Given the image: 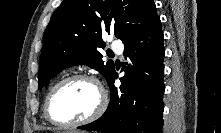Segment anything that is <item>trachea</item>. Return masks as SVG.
I'll list each match as a JSON object with an SVG mask.
<instances>
[{"mask_svg": "<svg viewBox=\"0 0 221 133\" xmlns=\"http://www.w3.org/2000/svg\"><path fill=\"white\" fill-rule=\"evenodd\" d=\"M108 56L111 57V56H114V54L113 53H109Z\"/></svg>", "mask_w": 221, "mask_h": 133, "instance_id": "3493384b", "label": "trachea"}]
</instances>
